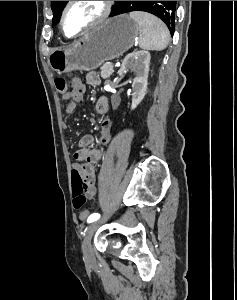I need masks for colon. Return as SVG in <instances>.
<instances>
[{
	"label": "colon",
	"instance_id": "1",
	"mask_svg": "<svg viewBox=\"0 0 237 300\" xmlns=\"http://www.w3.org/2000/svg\"><path fill=\"white\" fill-rule=\"evenodd\" d=\"M55 86L61 95H69L71 99L75 101H80L84 95L85 87L84 85L78 88L68 90V83L64 78H56ZM72 194H73V205L75 208L79 209L85 205L86 197L84 195L83 179L80 172L77 169L72 170ZM87 215V211H83Z\"/></svg>",
	"mask_w": 237,
	"mask_h": 300
}]
</instances>
